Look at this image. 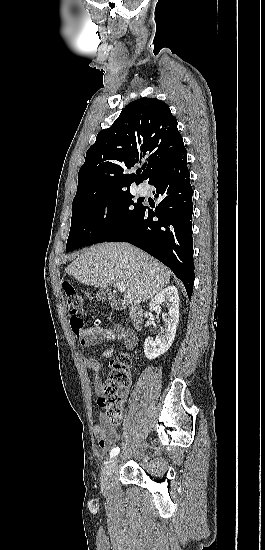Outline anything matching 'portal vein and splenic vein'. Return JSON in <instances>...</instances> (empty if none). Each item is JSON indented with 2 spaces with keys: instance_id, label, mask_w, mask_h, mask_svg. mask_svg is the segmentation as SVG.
<instances>
[{
  "instance_id": "obj_1",
  "label": "portal vein and splenic vein",
  "mask_w": 265,
  "mask_h": 550,
  "mask_svg": "<svg viewBox=\"0 0 265 550\" xmlns=\"http://www.w3.org/2000/svg\"><path fill=\"white\" fill-rule=\"evenodd\" d=\"M116 287H117L118 291H120V292H125L126 291V287H125L124 284L118 283V284H116Z\"/></svg>"
}]
</instances>
